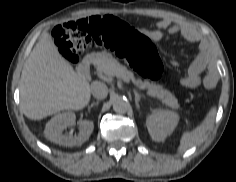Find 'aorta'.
<instances>
[{
	"label": "aorta",
	"mask_w": 236,
	"mask_h": 182,
	"mask_svg": "<svg viewBox=\"0 0 236 182\" xmlns=\"http://www.w3.org/2000/svg\"><path fill=\"white\" fill-rule=\"evenodd\" d=\"M112 105H113L114 111L117 112V113L127 112L128 108L130 106L129 101L127 100V98L122 97V96H116L113 99Z\"/></svg>",
	"instance_id": "obj_1"
}]
</instances>
